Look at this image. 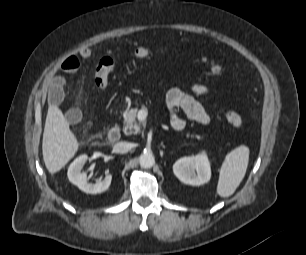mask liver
Segmentation results:
<instances>
[{"label": "liver", "mask_w": 306, "mask_h": 255, "mask_svg": "<svg viewBox=\"0 0 306 255\" xmlns=\"http://www.w3.org/2000/svg\"><path fill=\"white\" fill-rule=\"evenodd\" d=\"M79 143L57 105H50L46 117L42 153L47 170L60 171L76 154Z\"/></svg>", "instance_id": "6515ba94"}]
</instances>
